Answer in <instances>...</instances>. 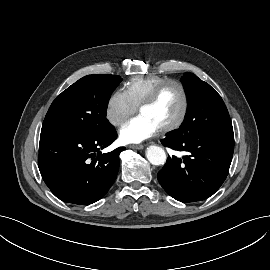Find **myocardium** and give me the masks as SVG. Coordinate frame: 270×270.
I'll use <instances>...</instances> for the list:
<instances>
[{"instance_id": "f54148a6", "label": "myocardium", "mask_w": 270, "mask_h": 270, "mask_svg": "<svg viewBox=\"0 0 270 270\" xmlns=\"http://www.w3.org/2000/svg\"><path fill=\"white\" fill-rule=\"evenodd\" d=\"M169 85H175L179 88L181 92V96H182V109H181V113L178 119L175 122L159 129V132L163 134L173 132L179 129L184 124L187 118L188 111H189V97H188V93L184 84L178 80L168 79L158 84L139 106V112L142 109L151 106L157 100V98L159 97L163 89Z\"/></svg>"}]
</instances>
